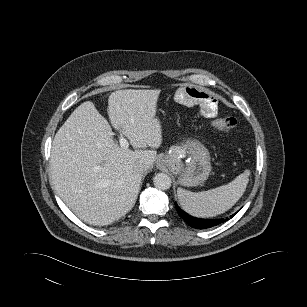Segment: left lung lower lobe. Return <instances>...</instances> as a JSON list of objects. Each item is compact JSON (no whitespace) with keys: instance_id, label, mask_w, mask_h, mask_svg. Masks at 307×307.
Masks as SVG:
<instances>
[{"instance_id":"1","label":"left lung lower lobe","mask_w":307,"mask_h":307,"mask_svg":"<svg viewBox=\"0 0 307 307\" xmlns=\"http://www.w3.org/2000/svg\"><path fill=\"white\" fill-rule=\"evenodd\" d=\"M175 206H176V210H177L178 214L180 215V217L188 225H190L191 227L196 228V229L211 228V227L217 226V225H219V224L228 220V218H226V219H223V218L222 219H200V218H196V217H193V216L187 214L183 210H181L176 203H175ZM234 215H232L230 218H232Z\"/></svg>"}]
</instances>
